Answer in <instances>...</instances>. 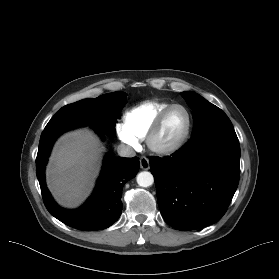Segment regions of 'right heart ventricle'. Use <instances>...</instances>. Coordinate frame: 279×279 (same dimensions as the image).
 <instances>
[{"label": "right heart ventricle", "mask_w": 279, "mask_h": 279, "mask_svg": "<svg viewBox=\"0 0 279 279\" xmlns=\"http://www.w3.org/2000/svg\"><path fill=\"white\" fill-rule=\"evenodd\" d=\"M170 105L161 100L143 102L125 112L123 125L137 139H144L158 115Z\"/></svg>", "instance_id": "right-heart-ventricle-1"}]
</instances>
